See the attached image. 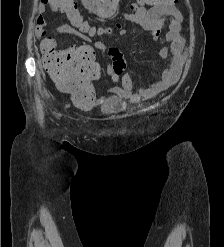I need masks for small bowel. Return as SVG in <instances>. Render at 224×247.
<instances>
[{"label":"small bowel","mask_w":224,"mask_h":247,"mask_svg":"<svg viewBox=\"0 0 224 247\" xmlns=\"http://www.w3.org/2000/svg\"><path fill=\"white\" fill-rule=\"evenodd\" d=\"M60 0H39L38 15H37V35L40 38V49L42 54L47 57L53 50L55 43L52 39L46 37L47 29L50 26V21L47 16V9L55 12H61L59 7ZM87 9L101 18L111 17L116 10L118 0H82ZM127 19L135 23L146 31L152 34L153 39H158L161 30L165 23L168 24V30L165 38L169 43L161 49L160 55L163 59H168V63L163 69L160 79L139 89H135L133 80L130 74H125L122 77V86L114 89L117 96L127 98L132 102H138L141 99L155 98L170 88L178 81L186 59V41L183 37L182 21L183 16L177 9L176 4L168 7H140L128 14ZM114 30L119 35L126 33V27L123 23L116 22ZM59 34L81 35L73 26L68 23H63L58 26ZM95 49L104 52L106 45L102 41L93 43ZM113 81L120 80L119 74L111 73ZM102 98L97 101H104Z\"/></svg>","instance_id":"1"}]
</instances>
